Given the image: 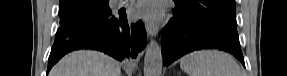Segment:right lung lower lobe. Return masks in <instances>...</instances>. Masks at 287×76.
I'll use <instances>...</instances> for the list:
<instances>
[{
  "label": "right lung lower lobe",
  "instance_id": "1",
  "mask_svg": "<svg viewBox=\"0 0 287 76\" xmlns=\"http://www.w3.org/2000/svg\"><path fill=\"white\" fill-rule=\"evenodd\" d=\"M146 45L141 20L129 22L124 10L109 7L96 15L76 19L60 26L48 59V70L66 53L77 49H96L118 60L136 58Z\"/></svg>",
  "mask_w": 287,
  "mask_h": 76
}]
</instances>
